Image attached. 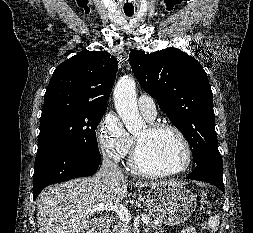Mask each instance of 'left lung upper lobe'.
<instances>
[{"label":"left lung upper lobe","instance_id":"obj_1","mask_svg":"<svg viewBox=\"0 0 253 233\" xmlns=\"http://www.w3.org/2000/svg\"><path fill=\"white\" fill-rule=\"evenodd\" d=\"M129 61L142 88L187 138L196 165L204 161L223 164L217 148L213 94L201 64L173 47L150 54L133 50Z\"/></svg>","mask_w":253,"mask_h":233}]
</instances>
